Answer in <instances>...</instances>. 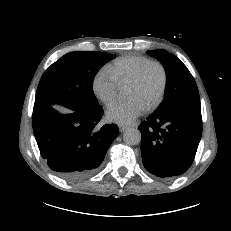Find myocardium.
<instances>
[{"label": "myocardium", "instance_id": "1", "mask_svg": "<svg viewBox=\"0 0 231 231\" xmlns=\"http://www.w3.org/2000/svg\"><path fill=\"white\" fill-rule=\"evenodd\" d=\"M152 65H156L160 68L161 73H162V84L160 87V91H159L157 97L155 98V100L146 107L148 110H153V109L157 108L164 98V95H165V92L167 89V85H168V73H167V69L164 66V64L162 62H160L159 60H149L148 62H146L145 64H143L139 68V70L137 71V73L135 74L133 79L128 84V87H134V86H137L138 84H140V82L142 81V79L145 75V72Z\"/></svg>", "mask_w": 231, "mask_h": 231}]
</instances>
